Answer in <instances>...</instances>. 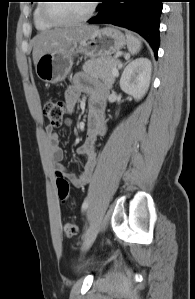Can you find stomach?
I'll return each mask as SVG.
<instances>
[{
    "label": "stomach",
    "mask_w": 195,
    "mask_h": 299,
    "mask_svg": "<svg viewBox=\"0 0 195 299\" xmlns=\"http://www.w3.org/2000/svg\"><path fill=\"white\" fill-rule=\"evenodd\" d=\"M126 43L127 39L118 29L97 27L86 38L71 47L42 55L36 65V74L40 80L56 84L70 73L74 56L83 54L92 59L111 57Z\"/></svg>",
    "instance_id": "1"
}]
</instances>
